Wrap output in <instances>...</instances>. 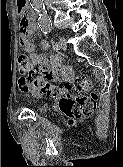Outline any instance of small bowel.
<instances>
[{
    "label": "small bowel",
    "mask_w": 123,
    "mask_h": 167,
    "mask_svg": "<svg viewBox=\"0 0 123 167\" xmlns=\"http://www.w3.org/2000/svg\"><path fill=\"white\" fill-rule=\"evenodd\" d=\"M27 0H17V13L21 14L22 11L27 9ZM21 26V35L19 38L20 45L29 53L35 51V45L29 39L30 35L35 30V25L33 23V18L30 12L23 13ZM42 46L44 49L47 47V42L43 41ZM31 63L33 66L38 67L39 70L45 74L50 75L53 79L70 80L72 78V71L66 67L60 65L59 59L54 56H47L45 53L33 54ZM19 88L24 93H29L32 95H39V90L27 83L24 78H19L18 80Z\"/></svg>",
    "instance_id": "small-bowel-1"
}]
</instances>
